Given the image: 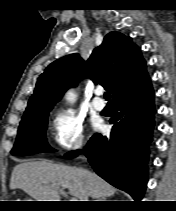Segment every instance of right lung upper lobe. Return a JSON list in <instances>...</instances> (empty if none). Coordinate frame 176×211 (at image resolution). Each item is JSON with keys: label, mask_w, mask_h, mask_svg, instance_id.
I'll return each mask as SVG.
<instances>
[{"label": "right lung upper lobe", "mask_w": 176, "mask_h": 211, "mask_svg": "<svg viewBox=\"0 0 176 211\" xmlns=\"http://www.w3.org/2000/svg\"><path fill=\"white\" fill-rule=\"evenodd\" d=\"M86 76L111 91L112 102L132 96L150 81L138 46L129 37L110 32L86 62L74 53L51 63L40 75L23 118L52 109Z\"/></svg>", "instance_id": "cb5924a9"}]
</instances>
